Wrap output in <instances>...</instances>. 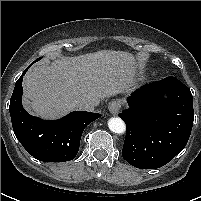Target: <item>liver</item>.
Instances as JSON below:
<instances>
[{
    "label": "liver",
    "mask_w": 201,
    "mask_h": 201,
    "mask_svg": "<svg viewBox=\"0 0 201 201\" xmlns=\"http://www.w3.org/2000/svg\"><path fill=\"white\" fill-rule=\"evenodd\" d=\"M136 76L135 59L128 52L102 50L61 57L27 72L23 81L25 107L41 118H59L75 110L79 98L129 94Z\"/></svg>",
    "instance_id": "liver-1"
}]
</instances>
